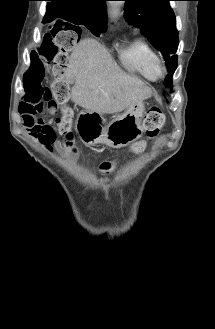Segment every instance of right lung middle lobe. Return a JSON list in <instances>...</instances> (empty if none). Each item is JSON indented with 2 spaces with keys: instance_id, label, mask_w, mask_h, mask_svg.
<instances>
[{
  "instance_id": "1",
  "label": "right lung middle lobe",
  "mask_w": 215,
  "mask_h": 329,
  "mask_svg": "<svg viewBox=\"0 0 215 329\" xmlns=\"http://www.w3.org/2000/svg\"><path fill=\"white\" fill-rule=\"evenodd\" d=\"M52 15H54V14L51 12H47V16H52ZM66 19H67V21L71 22V24L68 23L69 29H73L74 31H76L78 33V35L81 34V29H80V27H78V25H84L95 36H99L101 33H103L105 31V28H106L102 24L86 22L85 20H83L82 18H80L79 16H76V15H70Z\"/></svg>"
}]
</instances>
